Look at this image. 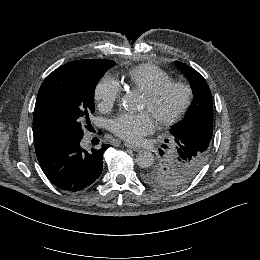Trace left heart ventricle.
<instances>
[{"label":"left heart ventricle","mask_w":260,"mask_h":260,"mask_svg":"<svg viewBox=\"0 0 260 260\" xmlns=\"http://www.w3.org/2000/svg\"><path fill=\"white\" fill-rule=\"evenodd\" d=\"M185 94L181 89H171L158 103L150 105L146 97L142 96L141 108L147 110L154 123L172 115L184 102Z\"/></svg>","instance_id":"1"}]
</instances>
